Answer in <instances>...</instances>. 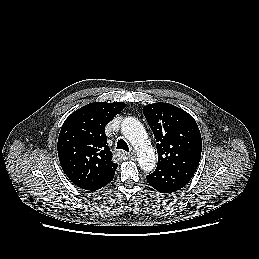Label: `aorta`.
<instances>
[{"label":"aorta","instance_id":"1","mask_svg":"<svg viewBox=\"0 0 259 259\" xmlns=\"http://www.w3.org/2000/svg\"><path fill=\"white\" fill-rule=\"evenodd\" d=\"M121 132L136 149L140 168L145 172L153 171L156 166L155 154L140 121L133 117H126L121 123Z\"/></svg>","mask_w":259,"mask_h":259}]
</instances>
